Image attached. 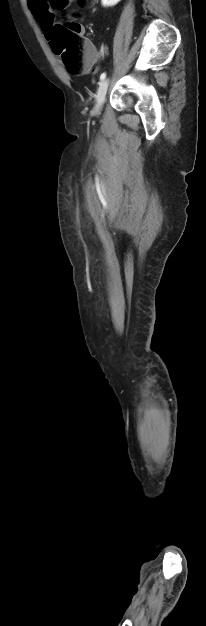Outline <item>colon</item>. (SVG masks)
Masks as SVG:
<instances>
[{"label":"colon","mask_w":206,"mask_h":626,"mask_svg":"<svg viewBox=\"0 0 206 626\" xmlns=\"http://www.w3.org/2000/svg\"><path fill=\"white\" fill-rule=\"evenodd\" d=\"M80 7H90L95 0H75ZM72 0H45L47 8L55 10L66 9ZM52 48L59 54L63 62L73 74L84 68V44L80 36V25L76 21H67L57 25L52 31Z\"/></svg>","instance_id":"1"}]
</instances>
